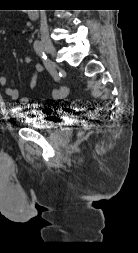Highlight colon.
Returning a JSON list of instances; mask_svg holds the SVG:
<instances>
[{
	"label": "colon",
	"instance_id": "colon-1",
	"mask_svg": "<svg viewBox=\"0 0 138 253\" xmlns=\"http://www.w3.org/2000/svg\"><path fill=\"white\" fill-rule=\"evenodd\" d=\"M69 93V88L67 86H61L52 91V97L54 99H62L66 97Z\"/></svg>",
	"mask_w": 138,
	"mask_h": 253
}]
</instances>
